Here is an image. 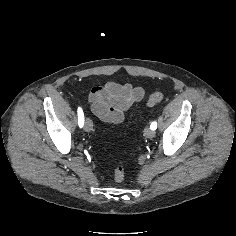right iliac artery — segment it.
Returning a JSON list of instances; mask_svg holds the SVG:
<instances>
[{
	"mask_svg": "<svg viewBox=\"0 0 236 236\" xmlns=\"http://www.w3.org/2000/svg\"><path fill=\"white\" fill-rule=\"evenodd\" d=\"M77 112H78V124H79V127H83V124H84V114H83V111L79 107Z\"/></svg>",
	"mask_w": 236,
	"mask_h": 236,
	"instance_id": "82829eb1",
	"label": "right iliac artery"
}]
</instances>
